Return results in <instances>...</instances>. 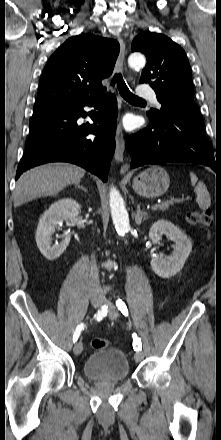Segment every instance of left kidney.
I'll list each match as a JSON object with an SVG mask.
<instances>
[{
  "label": "left kidney",
  "mask_w": 221,
  "mask_h": 440,
  "mask_svg": "<svg viewBox=\"0 0 221 440\" xmlns=\"http://www.w3.org/2000/svg\"><path fill=\"white\" fill-rule=\"evenodd\" d=\"M174 242L173 252L168 257L153 256L152 270L162 278L176 275L184 266L186 259L192 251V242L177 226L170 221L161 219L156 221L149 230V238L153 244H158L162 236Z\"/></svg>",
  "instance_id": "5707ae66"
}]
</instances>
